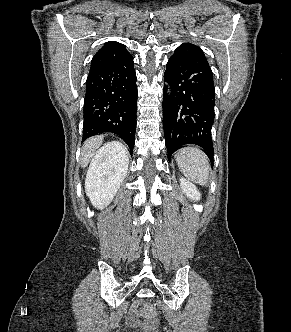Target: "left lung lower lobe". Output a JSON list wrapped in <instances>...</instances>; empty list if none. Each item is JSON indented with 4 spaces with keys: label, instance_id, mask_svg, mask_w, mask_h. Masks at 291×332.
I'll return each instance as SVG.
<instances>
[{
    "label": "left lung lower lobe",
    "instance_id": "1",
    "mask_svg": "<svg viewBox=\"0 0 291 332\" xmlns=\"http://www.w3.org/2000/svg\"><path fill=\"white\" fill-rule=\"evenodd\" d=\"M164 80L170 89L169 95L163 97L168 158L182 145L196 144L213 163L211 129L215 117V87L203 51L195 45L179 46L166 64Z\"/></svg>",
    "mask_w": 291,
    "mask_h": 332
}]
</instances>
